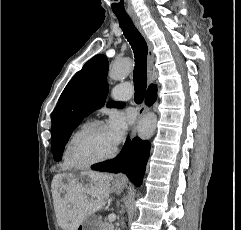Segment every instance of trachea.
<instances>
[{
    "label": "trachea",
    "mask_w": 241,
    "mask_h": 230,
    "mask_svg": "<svg viewBox=\"0 0 241 230\" xmlns=\"http://www.w3.org/2000/svg\"><path fill=\"white\" fill-rule=\"evenodd\" d=\"M119 20L120 27L125 38L130 43L135 57V67L133 71V81L136 103H141L145 96L147 87V54L148 47L144 37L133 24L131 18L124 13H115Z\"/></svg>",
    "instance_id": "trachea-1"
}]
</instances>
